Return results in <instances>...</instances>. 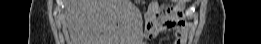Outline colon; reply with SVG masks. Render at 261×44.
I'll return each mask as SVG.
<instances>
[{"label":"colon","instance_id":"colon-1","mask_svg":"<svg viewBox=\"0 0 261 44\" xmlns=\"http://www.w3.org/2000/svg\"><path fill=\"white\" fill-rule=\"evenodd\" d=\"M174 2V5L175 6H182L184 4H186V0H176V1H173Z\"/></svg>","mask_w":261,"mask_h":44}]
</instances>
